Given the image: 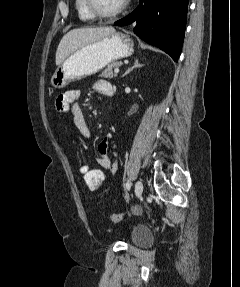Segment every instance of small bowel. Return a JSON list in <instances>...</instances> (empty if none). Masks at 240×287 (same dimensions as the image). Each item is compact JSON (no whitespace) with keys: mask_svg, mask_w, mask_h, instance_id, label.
I'll use <instances>...</instances> for the list:
<instances>
[{"mask_svg":"<svg viewBox=\"0 0 240 287\" xmlns=\"http://www.w3.org/2000/svg\"><path fill=\"white\" fill-rule=\"evenodd\" d=\"M94 90L105 96L113 95V86L104 80H100L94 83ZM81 92L73 89L68 90L63 94H60L55 101V108L62 114H72L73 122L79 133L84 138H90V130L87 126L84 114L79 105ZM115 149L111 136H106L98 145V158L97 164L110 171L112 175H115L118 171V162L115 158L108 155L109 149ZM116 156V152L114 153Z\"/></svg>","mask_w":240,"mask_h":287,"instance_id":"obj_1","label":"small bowel"}]
</instances>
